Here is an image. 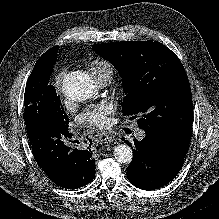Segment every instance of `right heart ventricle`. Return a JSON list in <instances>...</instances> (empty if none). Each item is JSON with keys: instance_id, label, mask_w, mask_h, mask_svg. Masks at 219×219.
<instances>
[{"instance_id": "1", "label": "right heart ventricle", "mask_w": 219, "mask_h": 219, "mask_svg": "<svg viewBox=\"0 0 219 219\" xmlns=\"http://www.w3.org/2000/svg\"><path fill=\"white\" fill-rule=\"evenodd\" d=\"M87 67L94 78H97L103 74L113 73V66L110 62L102 58H93L87 62Z\"/></svg>"}]
</instances>
